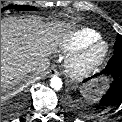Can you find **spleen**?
Here are the masks:
<instances>
[{"label": "spleen", "instance_id": "3e777b00", "mask_svg": "<svg viewBox=\"0 0 122 122\" xmlns=\"http://www.w3.org/2000/svg\"><path fill=\"white\" fill-rule=\"evenodd\" d=\"M105 87H99L98 83H91L81 91L86 98L96 97L104 93Z\"/></svg>", "mask_w": 122, "mask_h": 122}]
</instances>
